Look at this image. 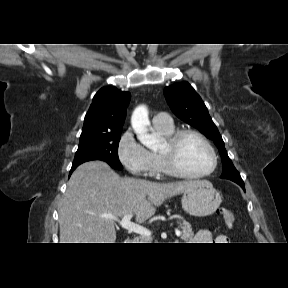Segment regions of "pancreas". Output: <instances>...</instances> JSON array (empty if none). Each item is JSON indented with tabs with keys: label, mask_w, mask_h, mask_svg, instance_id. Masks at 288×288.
<instances>
[{
	"label": "pancreas",
	"mask_w": 288,
	"mask_h": 288,
	"mask_svg": "<svg viewBox=\"0 0 288 288\" xmlns=\"http://www.w3.org/2000/svg\"><path fill=\"white\" fill-rule=\"evenodd\" d=\"M178 223L180 224V227L182 229L181 239L183 241L191 240L192 237L194 236L191 225L189 223H187L186 221H184L182 223L181 222H178ZM139 240H140V243H146V242H148L149 239L147 237L142 236L139 238Z\"/></svg>",
	"instance_id": "obj_1"
}]
</instances>
